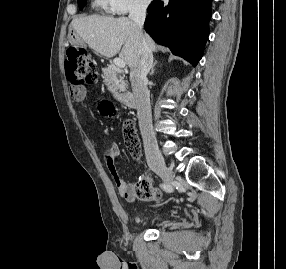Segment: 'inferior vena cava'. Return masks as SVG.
I'll use <instances>...</instances> for the list:
<instances>
[{
	"label": "inferior vena cava",
	"mask_w": 286,
	"mask_h": 269,
	"mask_svg": "<svg viewBox=\"0 0 286 269\" xmlns=\"http://www.w3.org/2000/svg\"><path fill=\"white\" fill-rule=\"evenodd\" d=\"M147 3L135 4L129 13V19L136 25L137 31L142 35V28L146 17ZM140 60L136 67L131 69L130 81L136 100L139 128L143 138L145 156L148 162L161 159L157 140L152 128V114L150 94L147 88V74L153 64V55L144 41L140 43Z\"/></svg>",
	"instance_id": "obj_1"
}]
</instances>
